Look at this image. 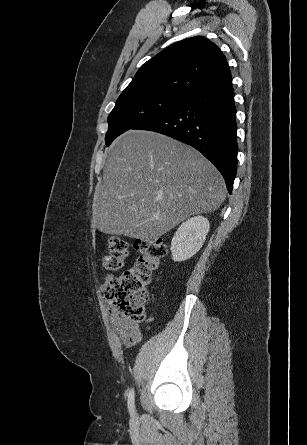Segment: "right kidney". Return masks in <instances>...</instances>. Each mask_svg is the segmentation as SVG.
Listing matches in <instances>:
<instances>
[{
    "mask_svg": "<svg viewBox=\"0 0 307 445\" xmlns=\"http://www.w3.org/2000/svg\"><path fill=\"white\" fill-rule=\"evenodd\" d=\"M210 223L205 216H192L177 229L171 243L173 261H187L200 251Z\"/></svg>",
    "mask_w": 307,
    "mask_h": 445,
    "instance_id": "right-kidney-1",
    "label": "right kidney"
}]
</instances>
